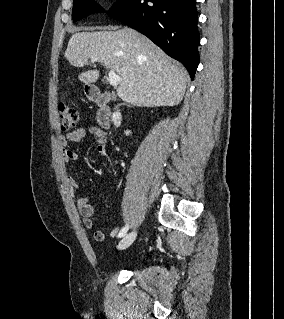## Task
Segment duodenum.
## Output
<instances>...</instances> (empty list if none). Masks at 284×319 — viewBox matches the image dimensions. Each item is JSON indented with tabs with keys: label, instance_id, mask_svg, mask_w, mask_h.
Wrapping results in <instances>:
<instances>
[{
	"label": "duodenum",
	"instance_id": "1",
	"mask_svg": "<svg viewBox=\"0 0 284 319\" xmlns=\"http://www.w3.org/2000/svg\"><path fill=\"white\" fill-rule=\"evenodd\" d=\"M88 96L99 107L97 113V121L99 125L103 128H109L111 125V110L109 107L111 95L109 93L101 92L96 87H90L88 90Z\"/></svg>",
	"mask_w": 284,
	"mask_h": 319
}]
</instances>
